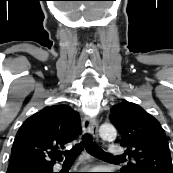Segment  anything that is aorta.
<instances>
[{
	"instance_id": "762f6f07",
	"label": "aorta",
	"mask_w": 173,
	"mask_h": 173,
	"mask_svg": "<svg viewBox=\"0 0 173 173\" xmlns=\"http://www.w3.org/2000/svg\"><path fill=\"white\" fill-rule=\"evenodd\" d=\"M99 134L102 139L112 141L116 138L117 131L113 125L105 123L100 126Z\"/></svg>"
}]
</instances>
